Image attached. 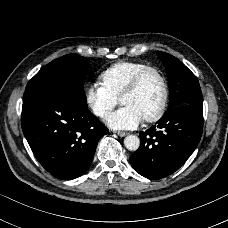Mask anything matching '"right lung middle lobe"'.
Here are the masks:
<instances>
[{"label":"right lung middle lobe","mask_w":228,"mask_h":228,"mask_svg":"<svg viewBox=\"0 0 228 228\" xmlns=\"http://www.w3.org/2000/svg\"><path fill=\"white\" fill-rule=\"evenodd\" d=\"M88 68L87 58L75 54L65 55L41 69L28 82L25 93L42 89L58 90L87 103L83 86Z\"/></svg>","instance_id":"1"}]
</instances>
